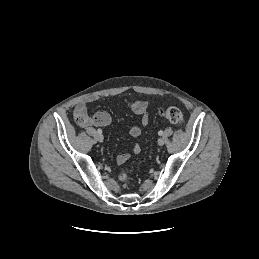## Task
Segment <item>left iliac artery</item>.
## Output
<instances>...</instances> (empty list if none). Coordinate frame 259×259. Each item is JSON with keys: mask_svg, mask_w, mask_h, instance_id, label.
<instances>
[{"mask_svg": "<svg viewBox=\"0 0 259 259\" xmlns=\"http://www.w3.org/2000/svg\"><path fill=\"white\" fill-rule=\"evenodd\" d=\"M158 134H159L160 136L163 135V131L160 130V131L158 132Z\"/></svg>", "mask_w": 259, "mask_h": 259, "instance_id": "1", "label": "left iliac artery"}]
</instances>
